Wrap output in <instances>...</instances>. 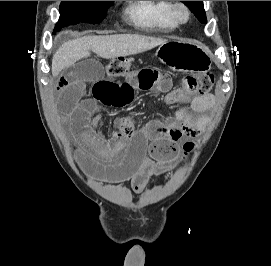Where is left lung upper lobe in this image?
I'll return each instance as SVG.
<instances>
[{
    "instance_id": "obj_1",
    "label": "left lung upper lobe",
    "mask_w": 271,
    "mask_h": 266,
    "mask_svg": "<svg viewBox=\"0 0 271 266\" xmlns=\"http://www.w3.org/2000/svg\"><path fill=\"white\" fill-rule=\"evenodd\" d=\"M189 7L201 23H206V15L203 7V1H181Z\"/></svg>"
}]
</instances>
